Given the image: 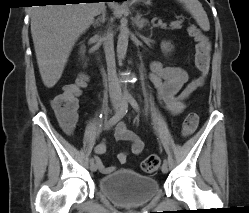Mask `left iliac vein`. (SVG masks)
Here are the masks:
<instances>
[{
  "label": "left iliac vein",
  "mask_w": 249,
  "mask_h": 213,
  "mask_svg": "<svg viewBox=\"0 0 249 213\" xmlns=\"http://www.w3.org/2000/svg\"><path fill=\"white\" fill-rule=\"evenodd\" d=\"M161 170L163 173H167L168 172V164L167 163H163Z\"/></svg>",
  "instance_id": "left-iliac-vein-1"
}]
</instances>
